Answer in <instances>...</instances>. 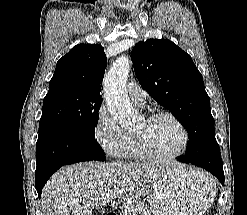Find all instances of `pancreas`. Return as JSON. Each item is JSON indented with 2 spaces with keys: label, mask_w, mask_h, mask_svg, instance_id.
Returning a JSON list of instances; mask_svg holds the SVG:
<instances>
[{
  "label": "pancreas",
  "mask_w": 247,
  "mask_h": 215,
  "mask_svg": "<svg viewBox=\"0 0 247 215\" xmlns=\"http://www.w3.org/2000/svg\"><path fill=\"white\" fill-rule=\"evenodd\" d=\"M122 215H151L149 207L141 201H133L125 206Z\"/></svg>",
  "instance_id": "1"
}]
</instances>
